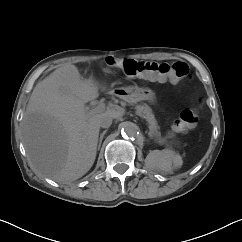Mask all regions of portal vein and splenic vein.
<instances>
[{
	"instance_id": "obj_1",
	"label": "portal vein and splenic vein",
	"mask_w": 242,
	"mask_h": 242,
	"mask_svg": "<svg viewBox=\"0 0 242 242\" xmlns=\"http://www.w3.org/2000/svg\"><path fill=\"white\" fill-rule=\"evenodd\" d=\"M106 108H108V107L104 103H100L93 110H91L89 113L94 114V113L103 112Z\"/></svg>"
}]
</instances>
